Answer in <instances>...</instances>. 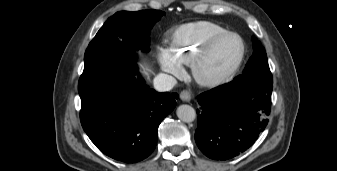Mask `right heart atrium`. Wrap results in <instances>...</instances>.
Returning a JSON list of instances; mask_svg holds the SVG:
<instances>
[{"instance_id":"right-heart-atrium-1","label":"right heart atrium","mask_w":337,"mask_h":171,"mask_svg":"<svg viewBox=\"0 0 337 171\" xmlns=\"http://www.w3.org/2000/svg\"><path fill=\"white\" fill-rule=\"evenodd\" d=\"M159 62L162 69L174 77H181L183 74L182 65L177 62L169 52L161 50L159 52Z\"/></svg>"}]
</instances>
